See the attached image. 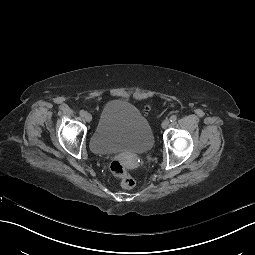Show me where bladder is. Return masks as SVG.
Masks as SVG:
<instances>
[{
    "label": "bladder",
    "mask_w": 255,
    "mask_h": 255,
    "mask_svg": "<svg viewBox=\"0 0 255 255\" xmlns=\"http://www.w3.org/2000/svg\"><path fill=\"white\" fill-rule=\"evenodd\" d=\"M152 147L151 126L138 109L120 99L109 102L91 138L92 150L143 154Z\"/></svg>",
    "instance_id": "obj_1"
}]
</instances>
